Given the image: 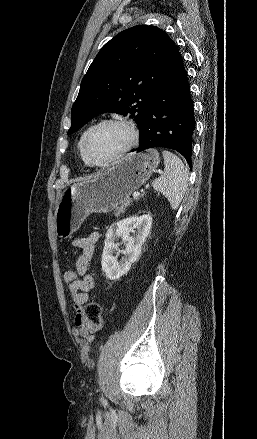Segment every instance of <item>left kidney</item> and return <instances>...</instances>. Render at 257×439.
I'll list each match as a JSON object with an SVG mask.
<instances>
[{
	"instance_id": "5707ae66",
	"label": "left kidney",
	"mask_w": 257,
	"mask_h": 439,
	"mask_svg": "<svg viewBox=\"0 0 257 439\" xmlns=\"http://www.w3.org/2000/svg\"><path fill=\"white\" fill-rule=\"evenodd\" d=\"M151 226L152 218L149 214L132 216L110 226L106 233L101 261L102 271L108 279H119L130 270L131 265L139 258ZM130 233H133V236H130ZM119 238L125 246L123 251L125 256L120 261L118 260L120 243L117 242Z\"/></svg>"
}]
</instances>
